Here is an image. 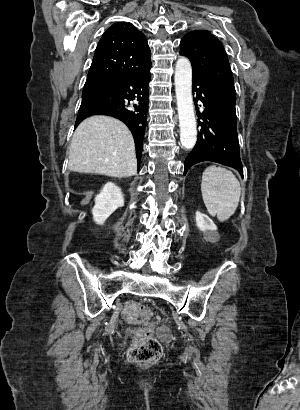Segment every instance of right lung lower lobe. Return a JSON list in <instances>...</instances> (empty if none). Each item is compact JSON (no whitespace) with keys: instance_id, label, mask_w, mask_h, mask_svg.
Here are the masks:
<instances>
[{"instance_id":"obj_1","label":"right lung lower lobe","mask_w":300,"mask_h":410,"mask_svg":"<svg viewBox=\"0 0 300 410\" xmlns=\"http://www.w3.org/2000/svg\"><path fill=\"white\" fill-rule=\"evenodd\" d=\"M151 68V67H150ZM150 68L114 78L109 83L83 91L75 127L91 115H109L124 122L134 137L138 165L140 164L143 137L147 124L148 84ZM135 100L133 103L131 101Z\"/></svg>"}]
</instances>
